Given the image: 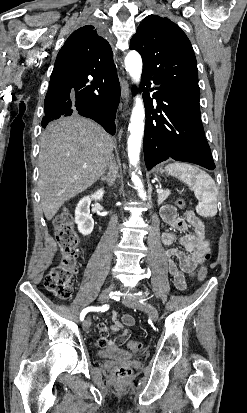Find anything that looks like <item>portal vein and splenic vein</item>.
Returning a JSON list of instances; mask_svg holds the SVG:
<instances>
[{
  "mask_svg": "<svg viewBox=\"0 0 247 413\" xmlns=\"http://www.w3.org/2000/svg\"><path fill=\"white\" fill-rule=\"evenodd\" d=\"M157 192H162V188H157Z\"/></svg>",
  "mask_w": 247,
  "mask_h": 413,
  "instance_id": "portal-vein-and-splenic-vein-1",
  "label": "portal vein and splenic vein"
}]
</instances>
